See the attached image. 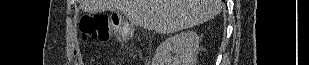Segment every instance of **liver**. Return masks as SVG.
Wrapping results in <instances>:
<instances>
[{
	"instance_id": "6515ba94",
	"label": "liver",
	"mask_w": 309,
	"mask_h": 65,
	"mask_svg": "<svg viewBox=\"0 0 309 65\" xmlns=\"http://www.w3.org/2000/svg\"><path fill=\"white\" fill-rule=\"evenodd\" d=\"M87 13L120 11L135 26L160 34L174 33L209 21L222 8L221 0H82Z\"/></svg>"
}]
</instances>
